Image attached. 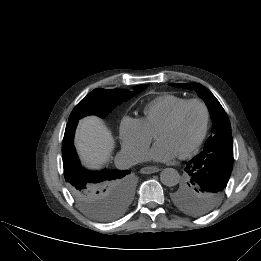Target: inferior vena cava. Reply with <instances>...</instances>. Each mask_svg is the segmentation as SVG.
I'll list each match as a JSON object with an SVG mask.
<instances>
[{"mask_svg":"<svg viewBox=\"0 0 261 261\" xmlns=\"http://www.w3.org/2000/svg\"><path fill=\"white\" fill-rule=\"evenodd\" d=\"M144 160V154L140 151L122 148L115 157V165L119 169H128Z\"/></svg>","mask_w":261,"mask_h":261,"instance_id":"602c4592","label":"inferior vena cava"}]
</instances>
